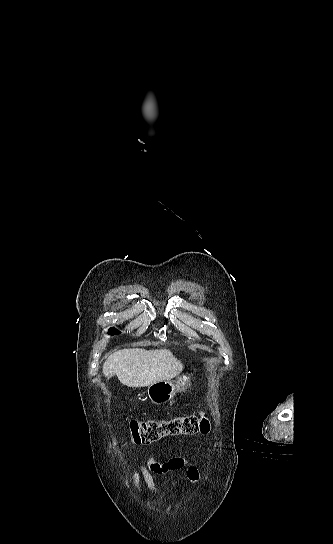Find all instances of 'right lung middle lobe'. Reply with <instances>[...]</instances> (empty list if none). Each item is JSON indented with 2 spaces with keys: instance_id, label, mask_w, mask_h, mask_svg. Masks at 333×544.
Segmentation results:
<instances>
[{
  "instance_id": "right-lung-middle-lobe-1",
  "label": "right lung middle lobe",
  "mask_w": 333,
  "mask_h": 544,
  "mask_svg": "<svg viewBox=\"0 0 333 544\" xmlns=\"http://www.w3.org/2000/svg\"><path fill=\"white\" fill-rule=\"evenodd\" d=\"M119 333H120V331L116 330L115 328L109 329V334H111V335H115V334H119Z\"/></svg>"
}]
</instances>
